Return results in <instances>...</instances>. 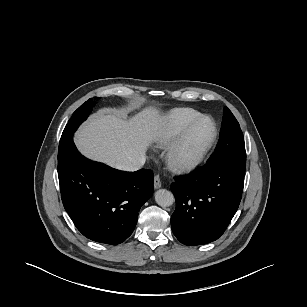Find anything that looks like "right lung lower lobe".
I'll return each mask as SVG.
<instances>
[{"label": "right lung lower lobe", "instance_id": "right-lung-lower-lobe-1", "mask_svg": "<svg viewBox=\"0 0 307 307\" xmlns=\"http://www.w3.org/2000/svg\"><path fill=\"white\" fill-rule=\"evenodd\" d=\"M62 202L88 239L119 244L133 232L141 206L152 196L153 172H123L85 158L73 145L58 159Z\"/></svg>", "mask_w": 307, "mask_h": 307}]
</instances>
